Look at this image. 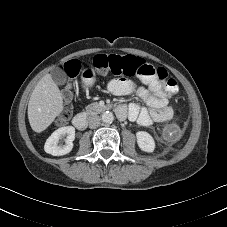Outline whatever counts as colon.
<instances>
[{
    "mask_svg": "<svg viewBox=\"0 0 227 227\" xmlns=\"http://www.w3.org/2000/svg\"><path fill=\"white\" fill-rule=\"evenodd\" d=\"M92 64L102 74L139 75L147 78H153L164 82L165 89L169 93H175L178 90V84L175 79L168 78L167 71L162 67H154L145 63L138 57L128 55L125 57L119 55L97 54L92 59ZM80 62L72 60L65 66V73L69 78H73L80 70ZM71 116V110L66 109L61 114L59 123L63 124ZM184 125L181 131H184Z\"/></svg>",
    "mask_w": 227,
    "mask_h": 227,
    "instance_id": "colon-1",
    "label": "colon"
}]
</instances>
